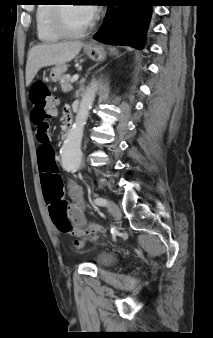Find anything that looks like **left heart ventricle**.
<instances>
[{
  "mask_svg": "<svg viewBox=\"0 0 213 338\" xmlns=\"http://www.w3.org/2000/svg\"><path fill=\"white\" fill-rule=\"evenodd\" d=\"M62 17L65 27L74 32L85 29L91 23L83 8L75 5L65 7L62 12Z\"/></svg>",
  "mask_w": 213,
  "mask_h": 338,
  "instance_id": "1",
  "label": "left heart ventricle"
}]
</instances>
